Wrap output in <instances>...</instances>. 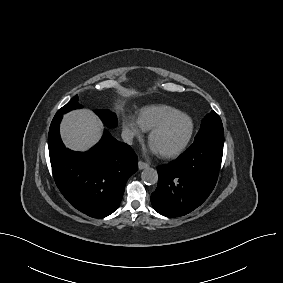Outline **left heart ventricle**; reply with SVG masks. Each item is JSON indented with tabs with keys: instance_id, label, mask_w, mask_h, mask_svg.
Masks as SVG:
<instances>
[{
	"instance_id": "left-heart-ventricle-1",
	"label": "left heart ventricle",
	"mask_w": 283,
	"mask_h": 283,
	"mask_svg": "<svg viewBox=\"0 0 283 283\" xmlns=\"http://www.w3.org/2000/svg\"><path fill=\"white\" fill-rule=\"evenodd\" d=\"M188 130L189 122L186 118H175L153 136L151 143L159 153L169 151L184 140Z\"/></svg>"
}]
</instances>
